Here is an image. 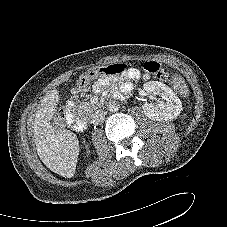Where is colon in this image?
Instances as JSON below:
<instances>
[{
  "instance_id": "1",
  "label": "colon",
  "mask_w": 227,
  "mask_h": 227,
  "mask_svg": "<svg viewBox=\"0 0 227 227\" xmlns=\"http://www.w3.org/2000/svg\"><path fill=\"white\" fill-rule=\"evenodd\" d=\"M124 64H113L103 67L92 68L85 72L76 80L73 85L74 93H83L87 90L90 82L99 77H114L121 74L125 70ZM144 71L147 75L157 77L162 80H166L169 77L168 71L163 68L156 61H147L143 65Z\"/></svg>"
}]
</instances>
